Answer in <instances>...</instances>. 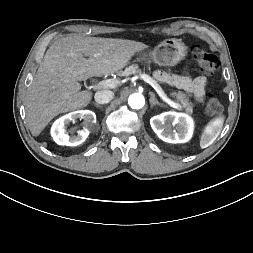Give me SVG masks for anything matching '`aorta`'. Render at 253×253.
<instances>
[{"label": "aorta", "instance_id": "1", "mask_svg": "<svg viewBox=\"0 0 253 253\" xmlns=\"http://www.w3.org/2000/svg\"><path fill=\"white\" fill-rule=\"evenodd\" d=\"M128 103L133 109H141L145 104V99L142 94L134 93L130 95Z\"/></svg>", "mask_w": 253, "mask_h": 253}]
</instances>
